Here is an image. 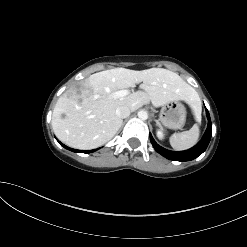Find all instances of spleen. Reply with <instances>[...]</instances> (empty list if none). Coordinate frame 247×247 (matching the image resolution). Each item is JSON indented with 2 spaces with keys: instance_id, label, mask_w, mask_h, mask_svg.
Wrapping results in <instances>:
<instances>
[{
  "instance_id": "obj_1",
  "label": "spleen",
  "mask_w": 247,
  "mask_h": 247,
  "mask_svg": "<svg viewBox=\"0 0 247 247\" xmlns=\"http://www.w3.org/2000/svg\"><path fill=\"white\" fill-rule=\"evenodd\" d=\"M191 106H192L196 120L200 122L201 121V111H202L200 99L196 104L191 105ZM199 135H200L199 126L198 124H194L192 128L188 131L173 134L170 137V144L172 148L177 151L187 150L193 147L197 143Z\"/></svg>"
}]
</instances>
